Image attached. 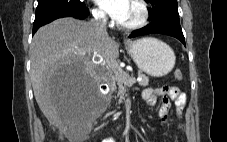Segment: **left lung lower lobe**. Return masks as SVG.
<instances>
[{"label": "left lung lower lobe", "mask_w": 227, "mask_h": 142, "mask_svg": "<svg viewBox=\"0 0 227 142\" xmlns=\"http://www.w3.org/2000/svg\"><path fill=\"white\" fill-rule=\"evenodd\" d=\"M165 34L172 37L177 38L185 45L184 35L180 26V23L168 21V20H161L156 22H151L150 25H147L141 29L133 31L129 38L137 37L140 35H147V34Z\"/></svg>", "instance_id": "1"}]
</instances>
